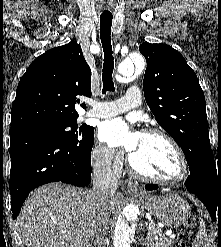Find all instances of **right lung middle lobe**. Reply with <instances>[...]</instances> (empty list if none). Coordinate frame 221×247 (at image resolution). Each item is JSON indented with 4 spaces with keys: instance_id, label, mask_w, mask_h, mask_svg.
<instances>
[{
    "instance_id": "obj_1",
    "label": "right lung middle lobe",
    "mask_w": 221,
    "mask_h": 247,
    "mask_svg": "<svg viewBox=\"0 0 221 247\" xmlns=\"http://www.w3.org/2000/svg\"><path fill=\"white\" fill-rule=\"evenodd\" d=\"M24 129L48 134L72 147H78L82 151H89L93 146V127L83 125L79 128V131H77L76 121L63 123H44L26 127ZM80 135H82V138L79 137Z\"/></svg>"
}]
</instances>
